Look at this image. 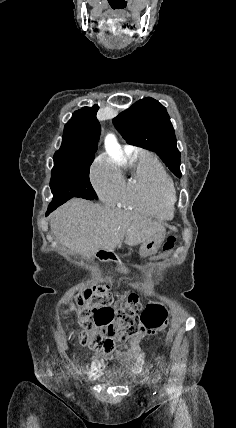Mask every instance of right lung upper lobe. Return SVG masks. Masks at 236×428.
<instances>
[{
	"instance_id": "right-lung-upper-lobe-1",
	"label": "right lung upper lobe",
	"mask_w": 236,
	"mask_h": 428,
	"mask_svg": "<svg viewBox=\"0 0 236 428\" xmlns=\"http://www.w3.org/2000/svg\"><path fill=\"white\" fill-rule=\"evenodd\" d=\"M98 105L75 111L63 132L62 145L54 154V162L93 161L101 132L96 118Z\"/></svg>"
}]
</instances>
